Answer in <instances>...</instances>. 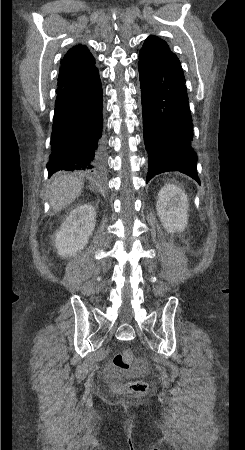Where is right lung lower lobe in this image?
Masks as SVG:
<instances>
[{
  "label": "right lung lower lobe",
  "mask_w": 245,
  "mask_h": 450,
  "mask_svg": "<svg viewBox=\"0 0 245 450\" xmlns=\"http://www.w3.org/2000/svg\"><path fill=\"white\" fill-rule=\"evenodd\" d=\"M51 148L49 176L60 170L104 172L102 86L96 67L57 91Z\"/></svg>",
  "instance_id": "obj_1"
}]
</instances>
